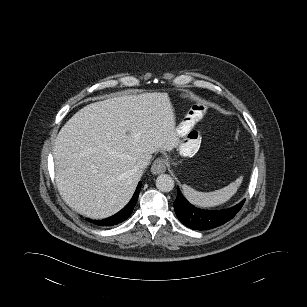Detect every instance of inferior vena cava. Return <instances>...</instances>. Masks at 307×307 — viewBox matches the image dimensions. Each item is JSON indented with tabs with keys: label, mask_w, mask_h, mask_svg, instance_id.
I'll list each match as a JSON object with an SVG mask.
<instances>
[{
	"label": "inferior vena cava",
	"mask_w": 307,
	"mask_h": 307,
	"mask_svg": "<svg viewBox=\"0 0 307 307\" xmlns=\"http://www.w3.org/2000/svg\"><path fill=\"white\" fill-rule=\"evenodd\" d=\"M148 164H149L148 160L142 159L137 163L136 168L138 171L143 172V169H145L148 166Z\"/></svg>",
	"instance_id": "602c4592"
}]
</instances>
